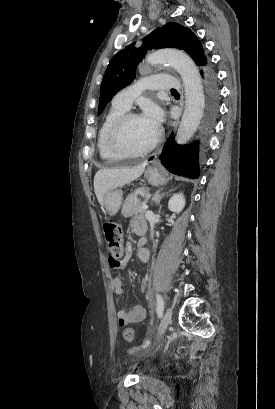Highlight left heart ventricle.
Here are the masks:
<instances>
[{"label": "left heart ventricle", "mask_w": 275, "mask_h": 409, "mask_svg": "<svg viewBox=\"0 0 275 409\" xmlns=\"http://www.w3.org/2000/svg\"><path fill=\"white\" fill-rule=\"evenodd\" d=\"M152 130L143 118L135 119L128 123L123 133V144L133 150L146 147L155 137Z\"/></svg>", "instance_id": "1"}]
</instances>
